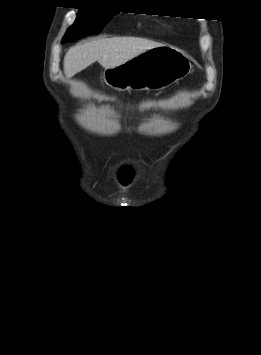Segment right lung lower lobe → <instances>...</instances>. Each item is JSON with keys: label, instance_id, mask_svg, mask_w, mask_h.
I'll use <instances>...</instances> for the list:
<instances>
[{"label": "right lung lower lobe", "instance_id": "1", "mask_svg": "<svg viewBox=\"0 0 261 355\" xmlns=\"http://www.w3.org/2000/svg\"><path fill=\"white\" fill-rule=\"evenodd\" d=\"M69 41H72V40H69ZM64 42H68V41H66V40H62V43H64Z\"/></svg>", "mask_w": 261, "mask_h": 355}]
</instances>
